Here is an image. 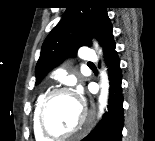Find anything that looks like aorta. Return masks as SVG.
I'll use <instances>...</instances> for the list:
<instances>
[{
	"label": "aorta",
	"instance_id": "1",
	"mask_svg": "<svg viewBox=\"0 0 155 141\" xmlns=\"http://www.w3.org/2000/svg\"><path fill=\"white\" fill-rule=\"evenodd\" d=\"M95 47L98 50V53L101 54L102 50L98 48L97 43H95ZM100 76H101L100 78L101 93L99 96V103H100V114H102L103 109L106 107L107 101H108L109 83H108V76H107L105 69H102Z\"/></svg>",
	"mask_w": 155,
	"mask_h": 141
}]
</instances>
